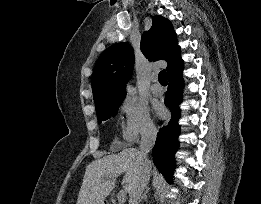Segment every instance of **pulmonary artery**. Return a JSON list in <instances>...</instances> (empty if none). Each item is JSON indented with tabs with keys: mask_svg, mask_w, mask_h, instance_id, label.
Returning <instances> with one entry per match:
<instances>
[{
	"mask_svg": "<svg viewBox=\"0 0 261 204\" xmlns=\"http://www.w3.org/2000/svg\"><path fill=\"white\" fill-rule=\"evenodd\" d=\"M152 85H151V91L156 94V95H160L163 93V87L158 83L157 77L154 76L152 78Z\"/></svg>",
	"mask_w": 261,
	"mask_h": 204,
	"instance_id": "1",
	"label": "pulmonary artery"
}]
</instances>
